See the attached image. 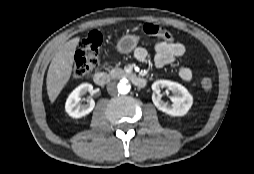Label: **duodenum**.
I'll return each mask as SVG.
<instances>
[{
  "label": "duodenum",
  "instance_id": "obj_1",
  "mask_svg": "<svg viewBox=\"0 0 254 174\" xmlns=\"http://www.w3.org/2000/svg\"><path fill=\"white\" fill-rule=\"evenodd\" d=\"M126 76L130 78V80L136 87L143 88L146 86L147 82L144 78L136 76L134 74H126ZM94 81L97 85L104 86L108 83L109 76L106 73L99 71L94 74Z\"/></svg>",
  "mask_w": 254,
  "mask_h": 174
}]
</instances>
